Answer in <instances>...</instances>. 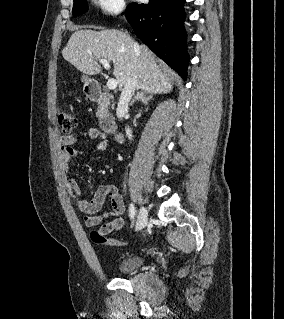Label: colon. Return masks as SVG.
<instances>
[{
	"instance_id": "1",
	"label": "colon",
	"mask_w": 284,
	"mask_h": 319,
	"mask_svg": "<svg viewBox=\"0 0 284 319\" xmlns=\"http://www.w3.org/2000/svg\"><path fill=\"white\" fill-rule=\"evenodd\" d=\"M57 119L63 133L72 132L77 125L76 117L64 106L58 108ZM91 239L97 244H106L111 246H120L123 244V242L118 239L107 238L101 235L97 230L91 232Z\"/></svg>"
}]
</instances>
